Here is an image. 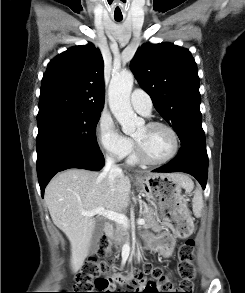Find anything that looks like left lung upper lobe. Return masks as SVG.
<instances>
[{
  "mask_svg": "<svg viewBox=\"0 0 245 293\" xmlns=\"http://www.w3.org/2000/svg\"><path fill=\"white\" fill-rule=\"evenodd\" d=\"M131 69L181 144L206 146L197 65L189 50L171 43L145 44Z\"/></svg>",
  "mask_w": 245,
  "mask_h": 293,
  "instance_id": "left-lung-upper-lobe-1",
  "label": "left lung upper lobe"
}]
</instances>
